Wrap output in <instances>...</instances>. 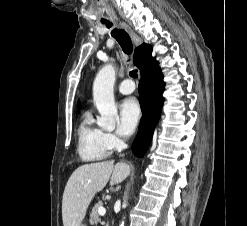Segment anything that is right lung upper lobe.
<instances>
[{
	"instance_id": "1",
	"label": "right lung upper lobe",
	"mask_w": 247,
	"mask_h": 226,
	"mask_svg": "<svg viewBox=\"0 0 247 226\" xmlns=\"http://www.w3.org/2000/svg\"><path fill=\"white\" fill-rule=\"evenodd\" d=\"M150 46L147 44H142L135 50L134 54V64L141 70H143L147 63L149 62V59L151 58V50ZM78 108H80V102H78Z\"/></svg>"
}]
</instances>
